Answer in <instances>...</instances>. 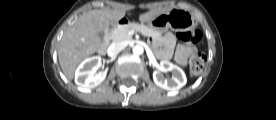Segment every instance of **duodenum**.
<instances>
[{
    "instance_id": "1",
    "label": "duodenum",
    "mask_w": 276,
    "mask_h": 120,
    "mask_svg": "<svg viewBox=\"0 0 276 120\" xmlns=\"http://www.w3.org/2000/svg\"><path fill=\"white\" fill-rule=\"evenodd\" d=\"M126 23H127V20L125 18H121V19L117 20L116 22L112 23L111 25H109V27L106 29V31L104 33V41H103V44L100 49L102 53L106 52L107 47L112 39L114 31L117 28L126 25Z\"/></svg>"
}]
</instances>
